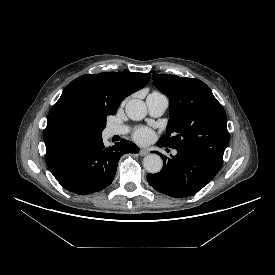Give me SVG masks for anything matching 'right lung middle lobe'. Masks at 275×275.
Here are the masks:
<instances>
[{
    "label": "right lung middle lobe",
    "mask_w": 275,
    "mask_h": 275,
    "mask_svg": "<svg viewBox=\"0 0 275 275\" xmlns=\"http://www.w3.org/2000/svg\"><path fill=\"white\" fill-rule=\"evenodd\" d=\"M115 114L116 110H87L78 113L71 124L78 139L100 136L106 126V117Z\"/></svg>",
    "instance_id": "obj_1"
}]
</instances>
